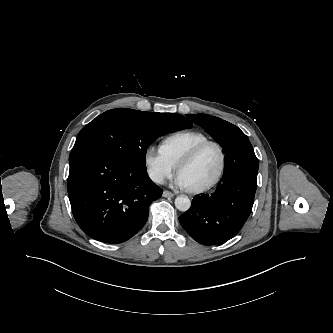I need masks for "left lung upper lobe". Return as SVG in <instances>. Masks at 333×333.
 Here are the masks:
<instances>
[{
	"instance_id": "1",
	"label": "left lung upper lobe",
	"mask_w": 333,
	"mask_h": 333,
	"mask_svg": "<svg viewBox=\"0 0 333 333\" xmlns=\"http://www.w3.org/2000/svg\"><path fill=\"white\" fill-rule=\"evenodd\" d=\"M187 116L222 146L225 153L240 142L249 140L237 126L220 118L204 114H188Z\"/></svg>"
}]
</instances>
